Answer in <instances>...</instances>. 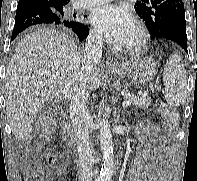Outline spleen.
<instances>
[{
	"mask_svg": "<svg viewBox=\"0 0 197 181\" xmlns=\"http://www.w3.org/2000/svg\"><path fill=\"white\" fill-rule=\"evenodd\" d=\"M163 82L166 102L175 107L183 105L187 97V75L177 53H173L164 66Z\"/></svg>",
	"mask_w": 197,
	"mask_h": 181,
	"instance_id": "obj_1",
	"label": "spleen"
}]
</instances>
